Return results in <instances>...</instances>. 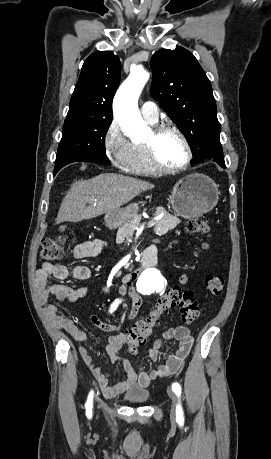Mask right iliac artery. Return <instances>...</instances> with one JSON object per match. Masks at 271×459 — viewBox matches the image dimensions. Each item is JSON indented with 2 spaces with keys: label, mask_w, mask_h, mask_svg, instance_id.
<instances>
[{
  "label": "right iliac artery",
  "mask_w": 271,
  "mask_h": 459,
  "mask_svg": "<svg viewBox=\"0 0 271 459\" xmlns=\"http://www.w3.org/2000/svg\"><path fill=\"white\" fill-rule=\"evenodd\" d=\"M121 302V300L119 299H116L113 304L111 305V308H110V312L112 313L114 310H116V308L118 307V304ZM93 403V391H91L89 393V396H88V399H87V402L85 404V407H86V415L88 418H91L92 417V405Z\"/></svg>",
  "instance_id": "obj_1"
}]
</instances>
